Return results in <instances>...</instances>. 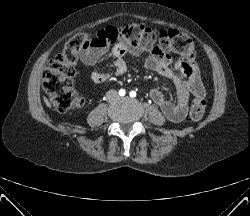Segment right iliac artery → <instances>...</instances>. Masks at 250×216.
<instances>
[{
	"label": "right iliac artery",
	"mask_w": 250,
	"mask_h": 216,
	"mask_svg": "<svg viewBox=\"0 0 250 216\" xmlns=\"http://www.w3.org/2000/svg\"><path fill=\"white\" fill-rule=\"evenodd\" d=\"M126 94L125 90L124 89H120L119 90V95L120 96H124Z\"/></svg>",
	"instance_id": "1"
}]
</instances>
